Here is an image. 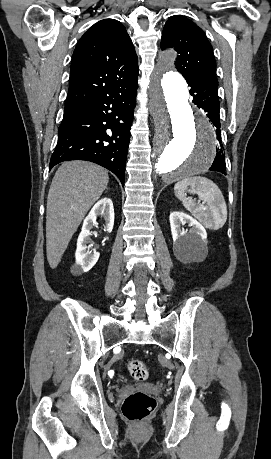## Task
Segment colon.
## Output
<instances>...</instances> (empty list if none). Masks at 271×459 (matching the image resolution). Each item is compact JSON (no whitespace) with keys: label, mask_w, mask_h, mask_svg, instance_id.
<instances>
[{"label":"colon","mask_w":271,"mask_h":459,"mask_svg":"<svg viewBox=\"0 0 271 459\" xmlns=\"http://www.w3.org/2000/svg\"><path fill=\"white\" fill-rule=\"evenodd\" d=\"M128 370L130 375L137 381H145L148 378L147 367L139 359L130 360ZM155 407L156 401L153 397L144 392H134L124 400L122 413L128 420L141 423L153 413Z\"/></svg>","instance_id":"1"}]
</instances>
